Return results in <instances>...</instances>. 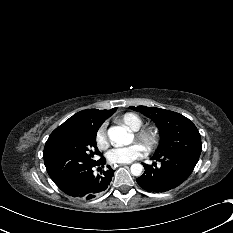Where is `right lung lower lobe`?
Here are the masks:
<instances>
[{"instance_id":"obj_1","label":"right lung lower lobe","mask_w":233,"mask_h":233,"mask_svg":"<svg viewBox=\"0 0 233 233\" xmlns=\"http://www.w3.org/2000/svg\"><path fill=\"white\" fill-rule=\"evenodd\" d=\"M106 163L102 158L95 165L80 171L73 178L58 184L57 186L66 194L82 199H92L104 190H106L112 180L114 170L107 166L106 170H101L100 166L104 168ZM94 167L101 170L99 174L94 173Z\"/></svg>"}]
</instances>
